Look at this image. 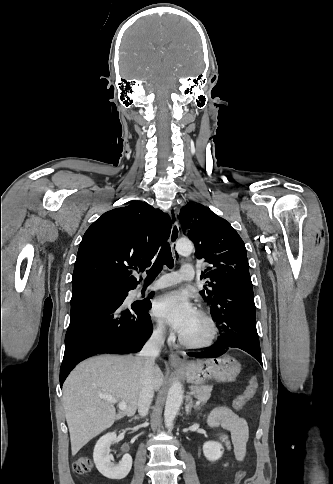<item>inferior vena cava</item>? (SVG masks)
<instances>
[{"label":"inferior vena cava","mask_w":333,"mask_h":484,"mask_svg":"<svg viewBox=\"0 0 333 484\" xmlns=\"http://www.w3.org/2000/svg\"><path fill=\"white\" fill-rule=\"evenodd\" d=\"M163 344V328H157L153 331L151 337L136 357V363L140 369L138 412L141 417H145L148 414L153 399L154 385L152 371L155 366V358L159 355Z\"/></svg>","instance_id":"602c4592"}]
</instances>
